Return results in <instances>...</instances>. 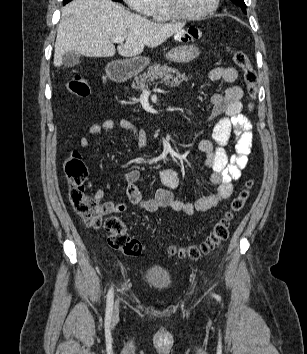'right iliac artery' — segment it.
Masks as SVG:
<instances>
[{
  "label": "right iliac artery",
  "instance_id": "1",
  "mask_svg": "<svg viewBox=\"0 0 307 354\" xmlns=\"http://www.w3.org/2000/svg\"><path fill=\"white\" fill-rule=\"evenodd\" d=\"M113 298H114V293H113V289L111 288L107 294V302H106V322H110L111 321V317H112V312H113Z\"/></svg>",
  "mask_w": 307,
  "mask_h": 354
}]
</instances>
